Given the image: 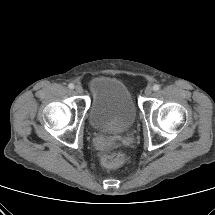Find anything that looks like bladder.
Returning a JSON list of instances; mask_svg holds the SVG:
<instances>
[{
  "label": "bladder",
  "mask_w": 215,
  "mask_h": 215,
  "mask_svg": "<svg viewBox=\"0 0 215 215\" xmlns=\"http://www.w3.org/2000/svg\"><path fill=\"white\" fill-rule=\"evenodd\" d=\"M89 122L97 131L121 134L136 119V106L128 88L118 79L95 76L89 82Z\"/></svg>",
  "instance_id": "obj_1"
}]
</instances>
